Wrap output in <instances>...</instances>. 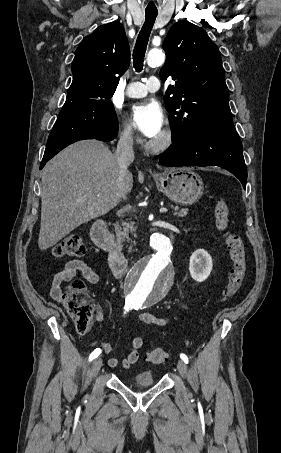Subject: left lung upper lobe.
Here are the masks:
<instances>
[{
    "label": "left lung upper lobe",
    "instance_id": "left-lung-upper-lobe-1",
    "mask_svg": "<svg viewBox=\"0 0 281 453\" xmlns=\"http://www.w3.org/2000/svg\"><path fill=\"white\" fill-rule=\"evenodd\" d=\"M163 48L166 62L160 78L176 81L164 97L173 142L206 129L233 124L221 54L206 31L179 21L170 28Z\"/></svg>",
    "mask_w": 281,
    "mask_h": 453
}]
</instances>
